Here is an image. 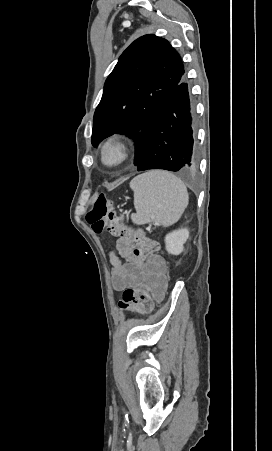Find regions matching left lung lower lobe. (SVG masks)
I'll use <instances>...</instances> for the list:
<instances>
[{"label":"left lung lower lobe","instance_id":"0a47b994","mask_svg":"<svg viewBox=\"0 0 272 451\" xmlns=\"http://www.w3.org/2000/svg\"><path fill=\"white\" fill-rule=\"evenodd\" d=\"M196 165L192 105L184 76L164 104L137 170L187 172Z\"/></svg>","mask_w":272,"mask_h":451}]
</instances>
